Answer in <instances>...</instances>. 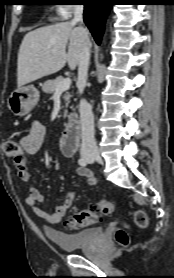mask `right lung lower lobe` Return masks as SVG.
I'll use <instances>...</instances> for the list:
<instances>
[{"mask_svg":"<svg viewBox=\"0 0 174 278\" xmlns=\"http://www.w3.org/2000/svg\"><path fill=\"white\" fill-rule=\"evenodd\" d=\"M84 7V21L94 39L100 44L103 34V25L108 15V12L113 5L112 0H82Z\"/></svg>","mask_w":174,"mask_h":278,"instance_id":"obj_1","label":"right lung lower lobe"}]
</instances>
